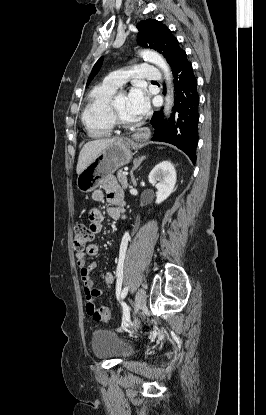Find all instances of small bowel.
I'll list each match as a JSON object with an SVG mask.
<instances>
[{
	"instance_id": "small-bowel-1",
	"label": "small bowel",
	"mask_w": 266,
	"mask_h": 415,
	"mask_svg": "<svg viewBox=\"0 0 266 415\" xmlns=\"http://www.w3.org/2000/svg\"><path fill=\"white\" fill-rule=\"evenodd\" d=\"M109 203L106 208L107 214L117 220L125 218L124 204L125 195L123 189L113 178L106 179L101 189L92 193V200L96 203H100L104 200V197ZM103 214L98 207H93L89 211V227L93 233H101L103 230ZM99 252V248L96 244H89L83 250H77L75 253V263L80 270V277L84 287V293L86 298V308L88 313L95 308L96 299L102 294L100 289L94 288V282L91 278V273L96 268V263L92 262L87 264L86 258L88 256H96ZM105 282L110 287L114 282V275L107 273L105 276Z\"/></svg>"
}]
</instances>
